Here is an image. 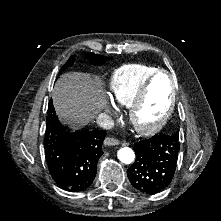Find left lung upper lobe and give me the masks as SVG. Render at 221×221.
<instances>
[{
  "label": "left lung upper lobe",
  "mask_w": 221,
  "mask_h": 221,
  "mask_svg": "<svg viewBox=\"0 0 221 221\" xmlns=\"http://www.w3.org/2000/svg\"><path fill=\"white\" fill-rule=\"evenodd\" d=\"M173 135H176L177 137L179 136V135H178V132H176V133H175V134H173Z\"/></svg>",
  "instance_id": "obj_1"
}]
</instances>
